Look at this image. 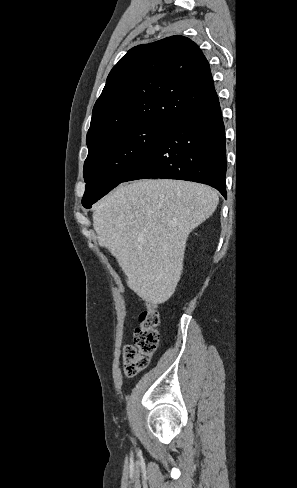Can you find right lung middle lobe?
Here are the masks:
<instances>
[{
	"label": "right lung middle lobe",
	"instance_id": "dd1d6c3e",
	"mask_svg": "<svg viewBox=\"0 0 297 488\" xmlns=\"http://www.w3.org/2000/svg\"><path fill=\"white\" fill-rule=\"evenodd\" d=\"M165 123H142L122 128L88 147L84 163L85 208L120 184L169 128Z\"/></svg>",
	"mask_w": 297,
	"mask_h": 488
}]
</instances>
